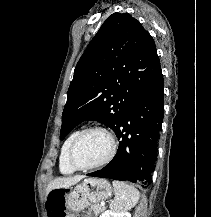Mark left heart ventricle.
Returning <instances> with one entry per match:
<instances>
[{"instance_id":"obj_1","label":"left heart ventricle","mask_w":211,"mask_h":217,"mask_svg":"<svg viewBox=\"0 0 211 217\" xmlns=\"http://www.w3.org/2000/svg\"><path fill=\"white\" fill-rule=\"evenodd\" d=\"M110 148L111 143L106 134L92 131L79 141L74 157L79 165H92L102 161L108 155Z\"/></svg>"}]
</instances>
